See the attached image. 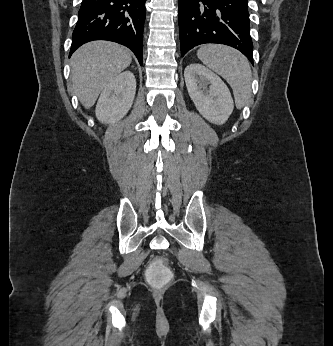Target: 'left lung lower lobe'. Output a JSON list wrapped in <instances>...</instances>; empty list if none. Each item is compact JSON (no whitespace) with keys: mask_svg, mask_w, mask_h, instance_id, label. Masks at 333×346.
Wrapping results in <instances>:
<instances>
[{"mask_svg":"<svg viewBox=\"0 0 333 346\" xmlns=\"http://www.w3.org/2000/svg\"><path fill=\"white\" fill-rule=\"evenodd\" d=\"M181 56L204 43L229 45L253 64L247 0H179Z\"/></svg>","mask_w":333,"mask_h":346,"instance_id":"left-lung-lower-lobe-1","label":"left lung lower lobe"}]
</instances>
